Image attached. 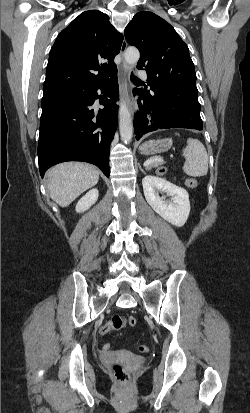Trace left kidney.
<instances>
[{"label": "left kidney", "mask_w": 250, "mask_h": 413, "mask_svg": "<svg viewBox=\"0 0 250 413\" xmlns=\"http://www.w3.org/2000/svg\"><path fill=\"white\" fill-rule=\"evenodd\" d=\"M144 196L152 209L163 219L182 227L190 213V201L188 192L171 182L156 176L147 175L142 180ZM159 192L166 193L170 200L159 196Z\"/></svg>", "instance_id": "1"}]
</instances>
